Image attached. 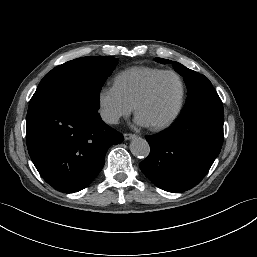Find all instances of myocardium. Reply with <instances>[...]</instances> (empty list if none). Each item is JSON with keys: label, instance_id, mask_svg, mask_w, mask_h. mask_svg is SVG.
Returning <instances> with one entry per match:
<instances>
[{"label": "myocardium", "instance_id": "obj_1", "mask_svg": "<svg viewBox=\"0 0 257 257\" xmlns=\"http://www.w3.org/2000/svg\"><path fill=\"white\" fill-rule=\"evenodd\" d=\"M166 75H172V76L176 77V79L178 80L179 85H180V97H179V101H178V104H177L174 112L168 119H166L165 121H163L161 123L150 125V127L153 130H163V129L170 127L180 116V114L183 110L184 104H185V100H186V85H185V82H184L182 76L173 70H164V71L160 72L159 74H157L156 76H154L147 83V85L145 86L143 91L138 96V98L134 104L136 113L138 114L140 106L150 96V94H151L155 84L158 82V80H160L162 77H164Z\"/></svg>", "mask_w": 257, "mask_h": 257}]
</instances>
